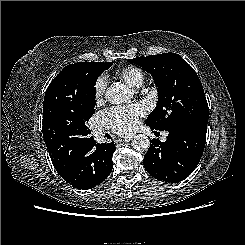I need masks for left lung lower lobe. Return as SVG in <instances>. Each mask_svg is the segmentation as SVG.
Instances as JSON below:
<instances>
[{
	"label": "left lung lower lobe",
	"instance_id": "1",
	"mask_svg": "<svg viewBox=\"0 0 245 245\" xmlns=\"http://www.w3.org/2000/svg\"><path fill=\"white\" fill-rule=\"evenodd\" d=\"M168 132L165 142L155 138L152 140L144 156L143 165L155 179L178 183L194 171L201 159L206 141L207 122L192 121Z\"/></svg>",
	"mask_w": 245,
	"mask_h": 245
}]
</instances>
